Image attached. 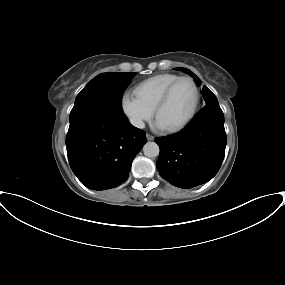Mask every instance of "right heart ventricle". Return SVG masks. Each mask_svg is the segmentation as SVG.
Wrapping results in <instances>:
<instances>
[{"mask_svg":"<svg viewBox=\"0 0 285 285\" xmlns=\"http://www.w3.org/2000/svg\"><path fill=\"white\" fill-rule=\"evenodd\" d=\"M180 76L173 73H162L152 76L134 88V93L139 100L154 110V107L165 89Z\"/></svg>","mask_w":285,"mask_h":285,"instance_id":"1","label":"right heart ventricle"}]
</instances>
